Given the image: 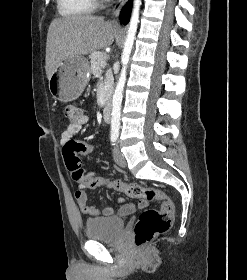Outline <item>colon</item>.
Returning <instances> with one entry per match:
<instances>
[{
  "label": "colon",
  "instance_id": "obj_1",
  "mask_svg": "<svg viewBox=\"0 0 247 280\" xmlns=\"http://www.w3.org/2000/svg\"><path fill=\"white\" fill-rule=\"evenodd\" d=\"M63 115L74 123L80 117L79 110L73 105L63 108ZM95 146L88 142L70 140L63 147L65 165L75 181H81V186L86 191L95 188H110L124 192L130 198H141L146 202L160 201V208L144 210L134 227V237L137 246H143L155 237L167 232L173 220L174 205L169 196L161 189L143 187L138 183H124L118 180L110 181L108 176H86L81 167L79 155H87L94 151Z\"/></svg>",
  "mask_w": 247,
  "mask_h": 280
}]
</instances>
